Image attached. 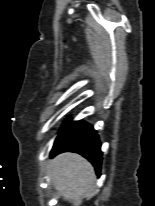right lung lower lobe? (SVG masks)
Masks as SVG:
<instances>
[{
    "instance_id": "obj_1",
    "label": "right lung lower lobe",
    "mask_w": 155,
    "mask_h": 206,
    "mask_svg": "<svg viewBox=\"0 0 155 206\" xmlns=\"http://www.w3.org/2000/svg\"><path fill=\"white\" fill-rule=\"evenodd\" d=\"M62 152L79 153L88 159L100 175L101 143L93 126L84 121L74 122L61 130L55 140L51 157Z\"/></svg>"
}]
</instances>
